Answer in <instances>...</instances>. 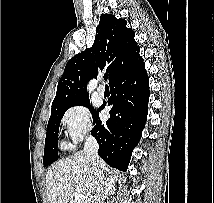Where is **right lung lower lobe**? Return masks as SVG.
<instances>
[{
  "mask_svg": "<svg viewBox=\"0 0 214 203\" xmlns=\"http://www.w3.org/2000/svg\"><path fill=\"white\" fill-rule=\"evenodd\" d=\"M110 118L103 123L99 111L91 134L99 144V156L111 167L126 171L134 147L140 141L148 113L149 79L142 62L110 84Z\"/></svg>",
  "mask_w": 214,
  "mask_h": 203,
  "instance_id": "98d812e1",
  "label": "right lung lower lobe"
}]
</instances>
